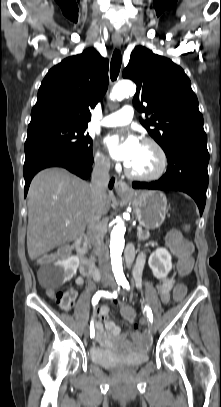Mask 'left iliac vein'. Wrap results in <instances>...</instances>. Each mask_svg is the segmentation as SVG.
<instances>
[{
  "label": "left iliac vein",
  "mask_w": 221,
  "mask_h": 407,
  "mask_svg": "<svg viewBox=\"0 0 221 407\" xmlns=\"http://www.w3.org/2000/svg\"><path fill=\"white\" fill-rule=\"evenodd\" d=\"M149 328H150V330H151L152 333H155V332H156V327H155L154 324H150Z\"/></svg>",
  "instance_id": "1"
}]
</instances>
